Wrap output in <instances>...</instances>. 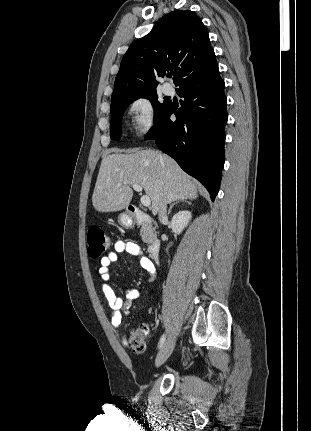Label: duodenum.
<instances>
[{
	"mask_svg": "<svg viewBox=\"0 0 311 431\" xmlns=\"http://www.w3.org/2000/svg\"><path fill=\"white\" fill-rule=\"evenodd\" d=\"M127 214L131 219V221L136 224L149 225L151 222L150 217L141 209L135 206H129L127 208ZM148 252L154 260H158L159 252H160V243L158 241H152L148 246Z\"/></svg>",
	"mask_w": 311,
	"mask_h": 431,
	"instance_id": "1",
	"label": "duodenum"
}]
</instances>
